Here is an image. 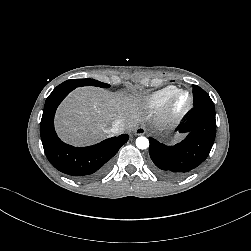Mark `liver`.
<instances>
[{
	"instance_id": "obj_1",
	"label": "liver",
	"mask_w": 251,
	"mask_h": 251,
	"mask_svg": "<svg viewBox=\"0 0 251 251\" xmlns=\"http://www.w3.org/2000/svg\"><path fill=\"white\" fill-rule=\"evenodd\" d=\"M140 116L135 98L87 87L75 90L63 102L56 126L65 141L84 145L110 135L109 130L117 120L128 128L135 127Z\"/></svg>"
}]
</instances>
